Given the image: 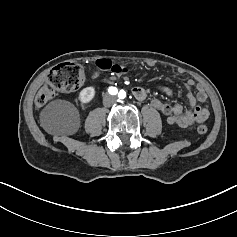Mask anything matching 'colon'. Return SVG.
Returning <instances> with one entry per match:
<instances>
[{"label": "colon", "instance_id": "5ec220e1", "mask_svg": "<svg viewBox=\"0 0 237 237\" xmlns=\"http://www.w3.org/2000/svg\"><path fill=\"white\" fill-rule=\"evenodd\" d=\"M97 68L107 71L115 76H120L130 70L129 65L119 64L110 59H99L96 62ZM86 80V73L82 66L74 63H63L54 67L47 76L36 96V106L44 107L58 92H73L79 89ZM199 134L207 132V126L200 123L197 126Z\"/></svg>", "mask_w": 237, "mask_h": 237}]
</instances>
